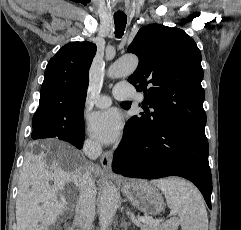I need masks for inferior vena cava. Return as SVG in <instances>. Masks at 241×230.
Masks as SVG:
<instances>
[{
	"mask_svg": "<svg viewBox=\"0 0 241 230\" xmlns=\"http://www.w3.org/2000/svg\"><path fill=\"white\" fill-rule=\"evenodd\" d=\"M101 152L99 144H87L85 154L95 157ZM96 187L91 172L86 171L80 178L79 198L75 208L74 222L80 230H92L95 217Z\"/></svg>",
	"mask_w": 241,
	"mask_h": 230,
	"instance_id": "obj_1",
	"label": "inferior vena cava"
}]
</instances>
